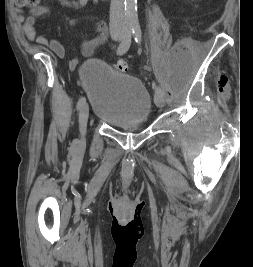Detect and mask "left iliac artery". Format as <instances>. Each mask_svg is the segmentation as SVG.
<instances>
[{"instance_id":"44dca946","label":"left iliac artery","mask_w":253,"mask_h":267,"mask_svg":"<svg viewBox=\"0 0 253 267\" xmlns=\"http://www.w3.org/2000/svg\"><path fill=\"white\" fill-rule=\"evenodd\" d=\"M133 36H134L136 43L140 44L141 39H142V32H141V28L139 26L134 27ZM153 89L155 90V94L163 93V90L160 87H158L155 83L153 84Z\"/></svg>"}]
</instances>
